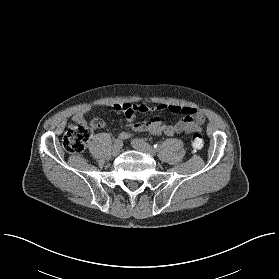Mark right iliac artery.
<instances>
[{"mask_svg":"<svg viewBox=\"0 0 279 279\" xmlns=\"http://www.w3.org/2000/svg\"><path fill=\"white\" fill-rule=\"evenodd\" d=\"M114 144L122 146V141L119 138L114 139Z\"/></svg>","mask_w":279,"mask_h":279,"instance_id":"1","label":"right iliac artery"}]
</instances>
